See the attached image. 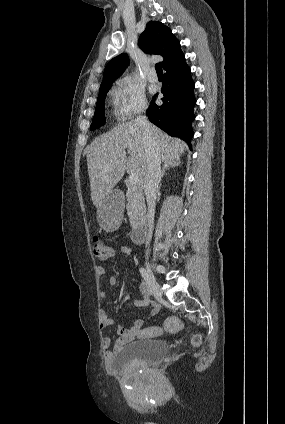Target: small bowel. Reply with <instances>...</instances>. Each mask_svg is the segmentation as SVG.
Returning a JSON list of instances; mask_svg holds the SVG:
<instances>
[{"instance_id": "1", "label": "small bowel", "mask_w": 285, "mask_h": 424, "mask_svg": "<svg viewBox=\"0 0 285 424\" xmlns=\"http://www.w3.org/2000/svg\"><path fill=\"white\" fill-rule=\"evenodd\" d=\"M121 253L125 254V255H132V250L127 247V246H123L121 247ZM96 272L98 275L102 276L105 275L107 273L106 269L103 266H98L96 269ZM109 284L111 286H115L117 284V279L114 276H111L109 278ZM140 292H141V298L134 300V305L137 307H147V306H152L153 307V311H155L156 309V305L151 301L150 299V294H149V290L148 287L146 285V283L142 282L140 285ZM100 295L101 297H108V292L105 290H101L100 291ZM113 324V319L112 317L107 313V312H102L101 313V318H100V328L101 329H105L107 327H110ZM142 327H143V320L142 319H137L134 321V323L131 325L130 328H124V327H119L117 330L118 333V338L114 344V347L112 350H108L105 353V360L106 361H110L113 358V354L114 352H116L118 349H120L121 347H123L124 345L141 338V333H142ZM111 344V340L110 338L106 337L103 340V345L104 347L108 348Z\"/></svg>"}]
</instances>
